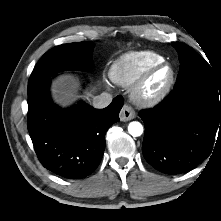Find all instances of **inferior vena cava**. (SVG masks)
<instances>
[{
	"label": "inferior vena cava",
	"mask_w": 221,
	"mask_h": 221,
	"mask_svg": "<svg viewBox=\"0 0 221 221\" xmlns=\"http://www.w3.org/2000/svg\"><path fill=\"white\" fill-rule=\"evenodd\" d=\"M113 97L110 93L102 92L100 95L95 96L93 99V106L97 109H103L110 105L112 102Z\"/></svg>",
	"instance_id": "obj_1"
}]
</instances>
